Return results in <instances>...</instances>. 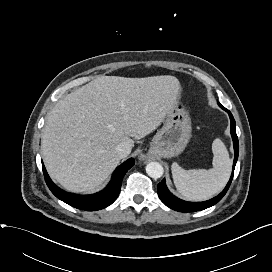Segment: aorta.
<instances>
[{"instance_id":"762f6f07","label":"aorta","mask_w":272,"mask_h":272,"mask_svg":"<svg viewBox=\"0 0 272 272\" xmlns=\"http://www.w3.org/2000/svg\"><path fill=\"white\" fill-rule=\"evenodd\" d=\"M146 173L148 174V176H150L151 178L154 179H158L160 177H162L163 173H164V169L162 167V165L158 162H150L146 165Z\"/></svg>"}]
</instances>
